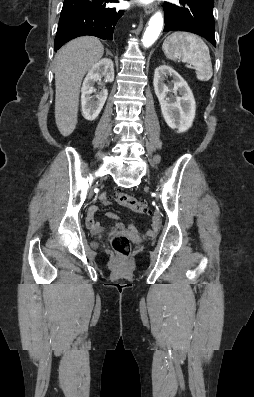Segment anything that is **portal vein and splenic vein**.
<instances>
[{"label":"portal vein and splenic vein","mask_w":254,"mask_h":397,"mask_svg":"<svg viewBox=\"0 0 254 397\" xmlns=\"http://www.w3.org/2000/svg\"><path fill=\"white\" fill-rule=\"evenodd\" d=\"M187 67H189V68H192V66H191V65H187Z\"/></svg>","instance_id":"1"}]
</instances>
